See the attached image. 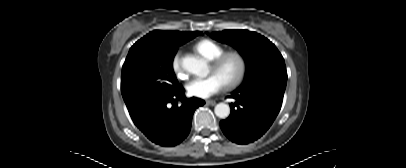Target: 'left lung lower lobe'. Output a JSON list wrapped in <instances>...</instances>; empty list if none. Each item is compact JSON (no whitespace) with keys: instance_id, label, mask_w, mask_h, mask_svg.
<instances>
[{"instance_id":"obj_1","label":"left lung lower lobe","mask_w":406,"mask_h":168,"mask_svg":"<svg viewBox=\"0 0 406 168\" xmlns=\"http://www.w3.org/2000/svg\"><path fill=\"white\" fill-rule=\"evenodd\" d=\"M284 91L277 88L234 91L229 96L236 100L230 105L231 114L220 122L225 136L237 144H248L260 138L279 113Z\"/></svg>"}]
</instances>
